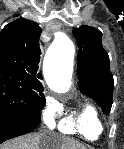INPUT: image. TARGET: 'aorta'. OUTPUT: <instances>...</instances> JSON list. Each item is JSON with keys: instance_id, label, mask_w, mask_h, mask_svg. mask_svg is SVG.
I'll return each mask as SVG.
<instances>
[{"instance_id": "1", "label": "aorta", "mask_w": 124, "mask_h": 149, "mask_svg": "<svg viewBox=\"0 0 124 149\" xmlns=\"http://www.w3.org/2000/svg\"><path fill=\"white\" fill-rule=\"evenodd\" d=\"M55 48L58 54V64L53 70L47 66L45 67V80L51 90L65 92L70 87L74 45L68 37L62 35L56 43Z\"/></svg>"}]
</instances>
